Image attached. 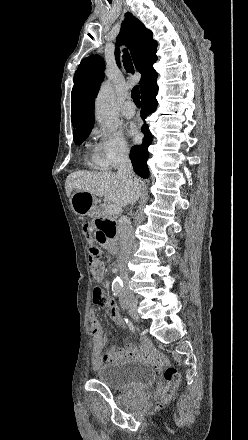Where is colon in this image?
I'll use <instances>...</instances> for the list:
<instances>
[{
    "label": "colon",
    "instance_id": "1",
    "mask_svg": "<svg viewBox=\"0 0 248 440\" xmlns=\"http://www.w3.org/2000/svg\"><path fill=\"white\" fill-rule=\"evenodd\" d=\"M85 232H86L87 236H90V232L88 230H85ZM89 255H90L89 261H90V267H91L92 273L94 274V276L96 278L102 279L105 275V267H104L103 262L100 259V250L96 246H91L90 251H89ZM94 294L97 299L104 298V294L102 293V291L100 289H95ZM164 377L167 382V385L164 390V399L167 400L173 395V393L179 383L180 376H179L178 371L175 368L169 367L165 370Z\"/></svg>",
    "mask_w": 248,
    "mask_h": 440
}]
</instances>
